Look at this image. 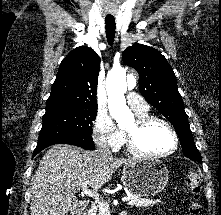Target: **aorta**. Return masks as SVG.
I'll return each instance as SVG.
<instances>
[{"label": "aorta", "instance_id": "1", "mask_svg": "<svg viewBox=\"0 0 221 215\" xmlns=\"http://www.w3.org/2000/svg\"><path fill=\"white\" fill-rule=\"evenodd\" d=\"M136 85L134 78L127 84L126 71L119 69L111 71L106 79L108 95V108L110 115L119 125L134 119L133 114L126 105L125 92Z\"/></svg>", "mask_w": 221, "mask_h": 215}]
</instances>
